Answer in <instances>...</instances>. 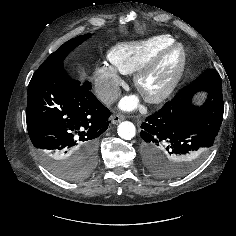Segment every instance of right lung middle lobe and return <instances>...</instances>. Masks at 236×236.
Returning <instances> with one entry per match:
<instances>
[{
	"label": "right lung middle lobe",
	"mask_w": 236,
	"mask_h": 236,
	"mask_svg": "<svg viewBox=\"0 0 236 236\" xmlns=\"http://www.w3.org/2000/svg\"><path fill=\"white\" fill-rule=\"evenodd\" d=\"M89 37L90 34H85L65 42L44 61L38 70L63 66V60L70 51ZM43 158L46 166L53 174L66 180H79L86 177L96 164V161L91 158L79 161L62 159L51 155Z\"/></svg>",
	"instance_id": "dd1d6c3e"
}]
</instances>
